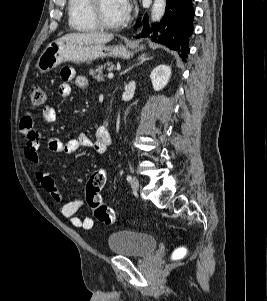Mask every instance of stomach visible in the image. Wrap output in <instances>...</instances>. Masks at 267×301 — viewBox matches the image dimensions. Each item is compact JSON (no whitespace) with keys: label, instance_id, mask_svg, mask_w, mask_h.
I'll return each instance as SVG.
<instances>
[{"label":"stomach","instance_id":"1","mask_svg":"<svg viewBox=\"0 0 267 301\" xmlns=\"http://www.w3.org/2000/svg\"><path fill=\"white\" fill-rule=\"evenodd\" d=\"M132 47L136 51L143 49L137 45ZM132 55L133 52L124 45L106 46L54 41L42 52L36 66L41 73H47L64 62L82 63L104 57L130 58Z\"/></svg>","mask_w":267,"mask_h":301}]
</instances>
